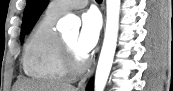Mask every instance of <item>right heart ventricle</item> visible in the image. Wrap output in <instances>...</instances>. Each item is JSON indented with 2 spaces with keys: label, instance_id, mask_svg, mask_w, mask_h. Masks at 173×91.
Here are the masks:
<instances>
[{
  "label": "right heart ventricle",
  "instance_id": "right-heart-ventricle-1",
  "mask_svg": "<svg viewBox=\"0 0 173 91\" xmlns=\"http://www.w3.org/2000/svg\"><path fill=\"white\" fill-rule=\"evenodd\" d=\"M59 16L48 10L26 41L23 70L35 80L52 83L69 77L62 60L61 36L55 29Z\"/></svg>",
  "mask_w": 173,
  "mask_h": 91
}]
</instances>
